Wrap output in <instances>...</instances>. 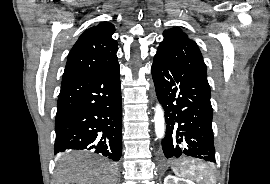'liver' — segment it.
Here are the masks:
<instances>
[{
	"label": "liver",
	"instance_id": "1",
	"mask_svg": "<svg viewBox=\"0 0 270 184\" xmlns=\"http://www.w3.org/2000/svg\"><path fill=\"white\" fill-rule=\"evenodd\" d=\"M57 184H116L117 169L114 164L100 159L77 157L61 165L56 172Z\"/></svg>",
	"mask_w": 270,
	"mask_h": 184
}]
</instances>
